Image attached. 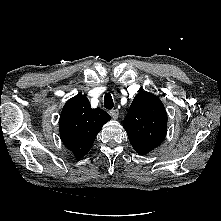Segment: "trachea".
I'll use <instances>...</instances> for the list:
<instances>
[{
    "mask_svg": "<svg viewBox=\"0 0 221 221\" xmlns=\"http://www.w3.org/2000/svg\"><path fill=\"white\" fill-rule=\"evenodd\" d=\"M104 107L108 110H111L114 107V102L110 93L105 94Z\"/></svg>",
    "mask_w": 221,
    "mask_h": 221,
    "instance_id": "1",
    "label": "trachea"
}]
</instances>
